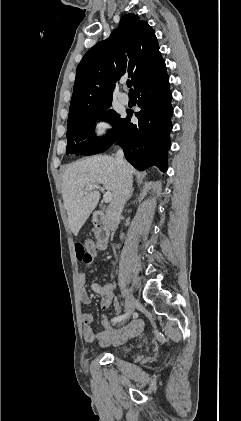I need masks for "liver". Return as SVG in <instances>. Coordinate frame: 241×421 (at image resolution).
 <instances>
[{"instance_id": "obj_1", "label": "liver", "mask_w": 241, "mask_h": 421, "mask_svg": "<svg viewBox=\"0 0 241 421\" xmlns=\"http://www.w3.org/2000/svg\"><path fill=\"white\" fill-rule=\"evenodd\" d=\"M128 165L129 172H135ZM119 170L116 159L107 155H96L71 164L62 179V197L68 214V223L72 233L77 236L92 211L99 202L100 194L96 190L80 195L88 186L103 184L111 192L112 198L117 190Z\"/></svg>"}]
</instances>
